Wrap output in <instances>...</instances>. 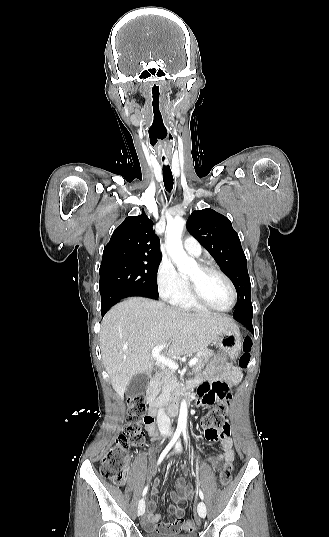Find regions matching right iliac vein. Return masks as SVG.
<instances>
[{"instance_id": "1", "label": "right iliac vein", "mask_w": 329, "mask_h": 537, "mask_svg": "<svg viewBox=\"0 0 329 537\" xmlns=\"http://www.w3.org/2000/svg\"><path fill=\"white\" fill-rule=\"evenodd\" d=\"M137 512H138V515L140 516L144 514L145 512V500L144 499H141L139 501Z\"/></svg>"}]
</instances>
